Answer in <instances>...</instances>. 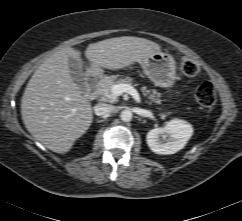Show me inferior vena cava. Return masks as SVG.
<instances>
[{"label": "inferior vena cava", "instance_id": "1", "mask_svg": "<svg viewBox=\"0 0 242 221\" xmlns=\"http://www.w3.org/2000/svg\"><path fill=\"white\" fill-rule=\"evenodd\" d=\"M114 110H115V107L109 104L100 103L94 107V112L97 116H104V115L110 114Z\"/></svg>", "mask_w": 242, "mask_h": 221}]
</instances>
